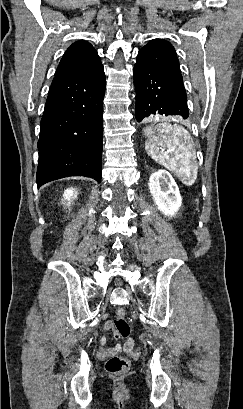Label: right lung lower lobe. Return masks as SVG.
<instances>
[{
  "mask_svg": "<svg viewBox=\"0 0 243 409\" xmlns=\"http://www.w3.org/2000/svg\"><path fill=\"white\" fill-rule=\"evenodd\" d=\"M105 85L103 66L53 79L40 123L38 187L67 176L101 181Z\"/></svg>",
  "mask_w": 243,
  "mask_h": 409,
  "instance_id": "98d812e1",
  "label": "right lung lower lobe"
}]
</instances>
